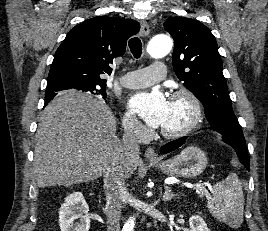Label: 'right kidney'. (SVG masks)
Wrapping results in <instances>:
<instances>
[{
    "instance_id": "ca27d5eb",
    "label": "right kidney",
    "mask_w": 268,
    "mask_h": 231,
    "mask_svg": "<svg viewBox=\"0 0 268 231\" xmlns=\"http://www.w3.org/2000/svg\"><path fill=\"white\" fill-rule=\"evenodd\" d=\"M89 206L81 192L67 196L59 210V226L61 231H88L90 218ZM80 218L79 222H75Z\"/></svg>"
}]
</instances>
